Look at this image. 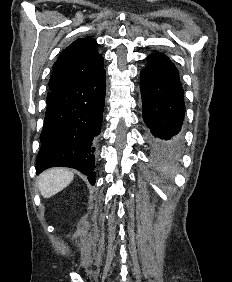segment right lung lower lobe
Segmentation results:
<instances>
[{
    "instance_id": "right-lung-lower-lobe-1",
    "label": "right lung lower lobe",
    "mask_w": 232,
    "mask_h": 282,
    "mask_svg": "<svg viewBox=\"0 0 232 282\" xmlns=\"http://www.w3.org/2000/svg\"><path fill=\"white\" fill-rule=\"evenodd\" d=\"M106 72L83 79L47 101L36 172L75 168L95 184V148L105 104Z\"/></svg>"
}]
</instances>
